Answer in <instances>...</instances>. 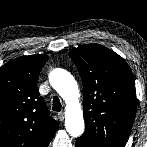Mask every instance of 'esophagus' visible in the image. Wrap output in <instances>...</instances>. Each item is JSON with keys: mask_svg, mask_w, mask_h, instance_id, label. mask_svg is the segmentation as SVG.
I'll return each instance as SVG.
<instances>
[{"mask_svg": "<svg viewBox=\"0 0 147 147\" xmlns=\"http://www.w3.org/2000/svg\"><path fill=\"white\" fill-rule=\"evenodd\" d=\"M58 118H59L60 121H63L64 118H65L64 112H59V113H58Z\"/></svg>", "mask_w": 147, "mask_h": 147, "instance_id": "obj_1", "label": "esophagus"}]
</instances>
